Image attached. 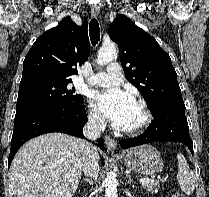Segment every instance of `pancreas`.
<instances>
[{
  "instance_id": "obj_1",
  "label": "pancreas",
  "mask_w": 209,
  "mask_h": 197,
  "mask_svg": "<svg viewBox=\"0 0 209 197\" xmlns=\"http://www.w3.org/2000/svg\"><path fill=\"white\" fill-rule=\"evenodd\" d=\"M158 184H159L158 181H155L154 183H150V184L142 183V187L144 189H146L148 192L153 194V193H157L158 192V189H157Z\"/></svg>"
}]
</instances>
